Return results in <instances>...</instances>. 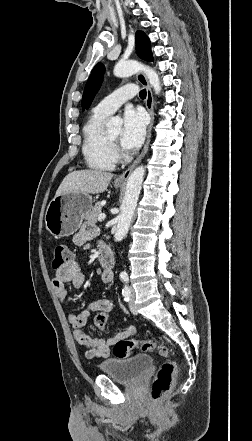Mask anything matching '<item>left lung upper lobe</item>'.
I'll return each mask as SVG.
<instances>
[{"label":"left lung upper lobe","instance_id":"1","mask_svg":"<svg viewBox=\"0 0 252 441\" xmlns=\"http://www.w3.org/2000/svg\"><path fill=\"white\" fill-rule=\"evenodd\" d=\"M136 46L138 56L146 61H153V56L150 47V40L146 34L142 31H137L136 33ZM105 67L103 64L98 63L92 70V73L85 85L83 97H82V108L88 109L95 94L100 89L101 83L103 81Z\"/></svg>","mask_w":252,"mask_h":441}]
</instances>
